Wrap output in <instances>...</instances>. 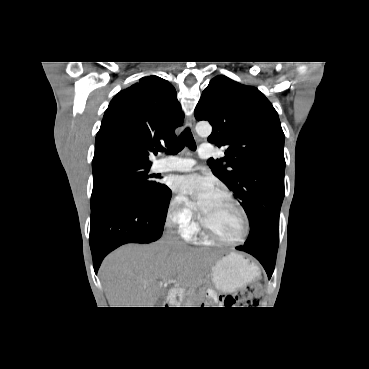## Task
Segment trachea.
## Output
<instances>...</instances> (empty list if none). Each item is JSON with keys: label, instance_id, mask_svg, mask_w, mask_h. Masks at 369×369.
I'll list each match as a JSON object with an SVG mask.
<instances>
[{"label": "trachea", "instance_id": "trachea-1", "mask_svg": "<svg viewBox=\"0 0 369 369\" xmlns=\"http://www.w3.org/2000/svg\"><path fill=\"white\" fill-rule=\"evenodd\" d=\"M185 146H187L190 150L195 151L196 150V144L195 140L193 138V135L191 133L190 128H186L176 139L174 144L167 149L168 154H177L180 152ZM160 151H163L164 149H159Z\"/></svg>", "mask_w": 369, "mask_h": 369}]
</instances>
